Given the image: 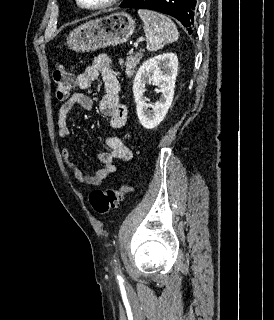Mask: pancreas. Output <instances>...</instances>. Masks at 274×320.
I'll list each match as a JSON object with an SVG mask.
<instances>
[{
	"instance_id": "1",
	"label": "pancreas",
	"mask_w": 274,
	"mask_h": 320,
	"mask_svg": "<svg viewBox=\"0 0 274 320\" xmlns=\"http://www.w3.org/2000/svg\"><path fill=\"white\" fill-rule=\"evenodd\" d=\"M141 58H143V52H138V54H129L126 58V62H123V60H120V64H124L125 66V72L128 76V78H131L133 76L137 64H139Z\"/></svg>"
}]
</instances>
